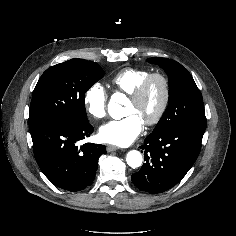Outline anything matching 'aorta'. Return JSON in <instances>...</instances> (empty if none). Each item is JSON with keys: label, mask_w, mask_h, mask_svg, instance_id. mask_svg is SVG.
<instances>
[{"label": "aorta", "mask_w": 236, "mask_h": 236, "mask_svg": "<svg viewBox=\"0 0 236 236\" xmlns=\"http://www.w3.org/2000/svg\"><path fill=\"white\" fill-rule=\"evenodd\" d=\"M124 100L125 96L121 93H115L111 96L108 104V112L111 117L119 119L122 116L121 104L124 102ZM126 161L131 168H138L142 165L143 158L139 151L131 150L127 153Z\"/></svg>", "instance_id": "762f6f07"}]
</instances>
